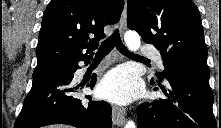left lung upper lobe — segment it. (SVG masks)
Instances as JSON below:
<instances>
[{
  "mask_svg": "<svg viewBox=\"0 0 221 128\" xmlns=\"http://www.w3.org/2000/svg\"><path fill=\"white\" fill-rule=\"evenodd\" d=\"M127 25L161 51L165 70L184 67L210 74L198 8L191 0H128Z\"/></svg>",
  "mask_w": 221,
  "mask_h": 128,
  "instance_id": "1",
  "label": "left lung upper lobe"
}]
</instances>
